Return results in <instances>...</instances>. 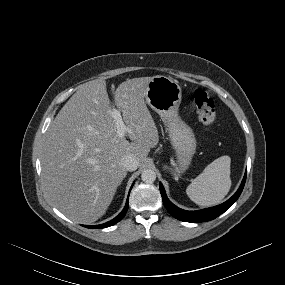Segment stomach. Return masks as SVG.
Returning a JSON list of instances; mask_svg holds the SVG:
<instances>
[{
    "mask_svg": "<svg viewBox=\"0 0 285 285\" xmlns=\"http://www.w3.org/2000/svg\"><path fill=\"white\" fill-rule=\"evenodd\" d=\"M147 104L165 123L169 140L177 159V173L186 171L196 152V139L192 129L179 116L182 90L178 82L166 76H154L145 95Z\"/></svg>",
    "mask_w": 285,
    "mask_h": 285,
    "instance_id": "stomach-1",
    "label": "stomach"
}]
</instances>
